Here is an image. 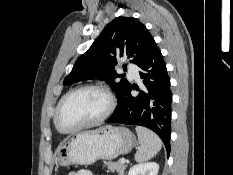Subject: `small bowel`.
<instances>
[{
  "instance_id": "c3829d8e",
  "label": "small bowel",
  "mask_w": 233,
  "mask_h": 175,
  "mask_svg": "<svg viewBox=\"0 0 233 175\" xmlns=\"http://www.w3.org/2000/svg\"><path fill=\"white\" fill-rule=\"evenodd\" d=\"M68 175H96L92 171L87 170V169H81L75 172H71Z\"/></svg>"
}]
</instances>
